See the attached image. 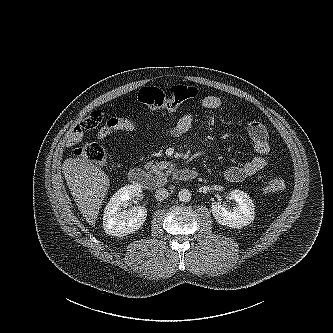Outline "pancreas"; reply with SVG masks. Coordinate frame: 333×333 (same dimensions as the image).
<instances>
[{
	"mask_svg": "<svg viewBox=\"0 0 333 333\" xmlns=\"http://www.w3.org/2000/svg\"><path fill=\"white\" fill-rule=\"evenodd\" d=\"M146 169H150L152 173H155L158 176H169L172 172L175 171L174 165L170 162L161 161L159 163L148 162L145 165Z\"/></svg>",
	"mask_w": 333,
	"mask_h": 333,
	"instance_id": "obj_1",
	"label": "pancreas"
}]
</instances>
